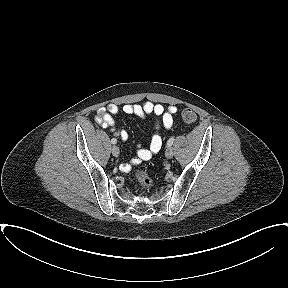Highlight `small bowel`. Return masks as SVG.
Returning a JSON list of instances; mask_svg holds the SVG:
<instances>
[{
  "mask_svg": "<svg viewBox=\"0 0 288 288\" xmlns=\"http://www.w3.org/2000/svg\"><path fill=\"white\" fill-rule=\"evenodd\" d=\"M122 111L127 115H135L144 118L148 115H154L157 120L155 132L151 137L148 147L138 146L136 157L132 163L138 164L141 161L149 160L154 154L158 153L162 147L163 140L160 134V128L170 129L173 126V115L177 112L176 106H169L167 109L161 104H155L146 101L143 104H126ZM120 112V108L115 104H109L107 107L100 108L95 117L96 122L104 128H110L123 141L128 139V133L124 130L116 131L114 116ZM127 165H122L126 169Z\"/></svg>",
  "mask_w": 288,
  "mask_h": 288,
  "instance_id": "c3829d8e",
  "label": "small bowel"
}]
</instances>
